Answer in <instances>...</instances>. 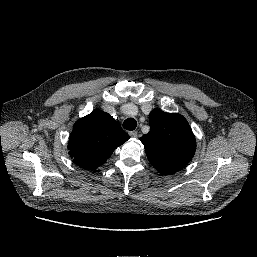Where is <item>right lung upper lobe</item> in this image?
I'll return each instance as SVG.
<instances>
[{
	"label": "right lung upper lobe",
	"instance_id": "1",
	"mask_svg": "<svg viewBox=\"0 0 257 257\" xmlns=\"http://www.w3.org/2000/svg\"><path fill=\"white\" fill-rule=\"evenodd\" d=\"M128 139V134L111 115L93 111L74 125L68 143L69 154L81 168L94 170Z\"/></svg>",
	"mask_w": 257,
	"mask_h": 257
}]
</instances>
